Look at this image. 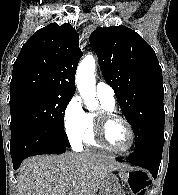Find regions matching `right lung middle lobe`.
Segmentation results:
<instances>
[{
	"mask_svg": "<svg viewBox=\"0 0 178 195\" xmlns=\"http://www.w3.org/2000/svg\"><path fill=\"white\" fill-rule=\"evenodd\" d=\"M72 97L37 91L10 96L11 135L54 130L67 140L64 112Z\"/></svg>",
	"mask_w": 178,
	"mask_h": 195,
	"instance_id": "dd1d6c3e",
	"label": "right lung middle lobe"
}]
</instances>
